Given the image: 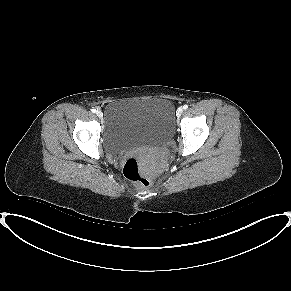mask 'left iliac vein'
<instances>
[{
  "label": "left iliac vein",
  "mask_w": 291,
  "mask_h": 291,
  "mask_svg": "<svg viewBox=\"0 0 291 291\" xmlns=\"http://www.w3.org/2000/svg\"><path fill=\"white\" fill-rule=\"evenodd\" d=\"M183 113V109L182 108H178L177 111H176V115L177 117H180Z\"/></svg>",
  "instance_id": "1"
}]
</instances>
